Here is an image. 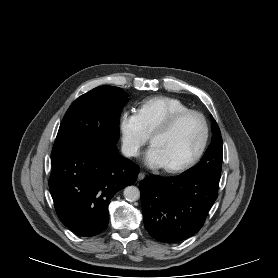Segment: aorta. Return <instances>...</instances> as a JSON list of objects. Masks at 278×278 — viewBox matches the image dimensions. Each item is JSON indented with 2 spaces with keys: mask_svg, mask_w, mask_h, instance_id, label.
I'll return each instance as SVG.
<instances>
[{
  "mask_svg": "<svg viewBox=\"0 0 278 278\" xmlns=\"http://www.w3.org/2000/svg\"><path fill=\"white\" fill-rule=\"evenodd\" d=\"M124 197L127 201L134 202L140 198V190L136 186H128L124 189Z\"/></svg>",
  "mask_w": 278,
  "mask_h": 278,
  "instance_id": "1",
  "label": "aorta"
}]
</instances>
